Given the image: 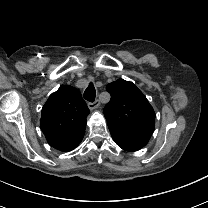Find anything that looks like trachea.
<instances>
[{
    "label": "trachea",
    "mask_w": 208,
    "mask_h": 208,
    "mask_svg": "<svg viewBox=\"0 0 208 208\" xmlns=\"http://www.w3.org/2000/svg\"><path fill=\"white\" fill-rule=\"evenodd\" d=\"M96 97L95 88L90 85L84 92V98L89 102H94Z\"/></svg>",
    "instance_id": "obj_1"
}]
</instances>
